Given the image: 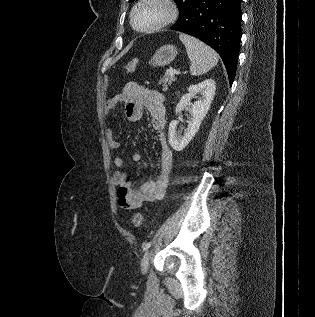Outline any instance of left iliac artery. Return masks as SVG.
Returning a JSON list of instances; mask_svg holds the SVG:
<instances>
[{"label": "left iliac artery", "instance_id": "1", "mask_svg": "<svg viewBox=\"0 0 315 317\" xmlns=\"http://www.w3.org/2000/svg\"><path fill=\"white\" fill-rule=\"evenodd\" d=\"M151 246V242H147L144 246H143V251H146L150 248Z\"/></svg>", "mask_w": 315, "mask_h": 317}]
</instances>
